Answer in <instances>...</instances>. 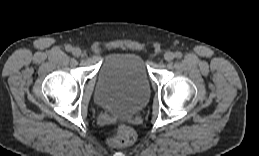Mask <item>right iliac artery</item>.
<instances>
[{
    "label": "right iliac artery",
    "instance_id": "obj_1",
    "mask_svg": "<svg viewBox=\"0 0 259 156\" xmlns=\"http://www.w3.org/2000/svg\"><path fill=\"white\" fill-rule=\"evenodd\" d=\"M65 49H66V51H68V52H70V51H72V46L71 45H67L66 47H65Z\"/></svg>",
    "mask_w": 259,
    "mask_h": 156
}]
</instances>
